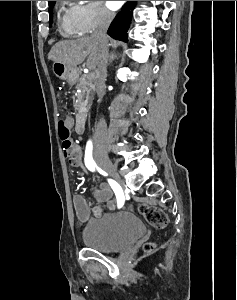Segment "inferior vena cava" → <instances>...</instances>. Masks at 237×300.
Returning <instances> with one entry per match:
<instances>
[{
  "instance_id": "inferior-vena-cava-1",
  "label": "inferior vena cava",
  "mask_w": 237,
  "mask_h": 300,
  "mask_svg": "<svg viewBox=\"0 0 237 300\" xmlns=\"http://www.w3.org/2000/svg\"><path fill=\"white\" fill-rule=\"evenodd\" d=\"M114 19V13H111V11H108V9H105V7H102L101 13H100V21L96 27V31H94L92 37L94 39H97L99 41L100 45V61L97 69V81H96V93L99 97V101L103 99L105 95V81L107 77V63H108V39H107V31L109 29V25L111 21ZM95 135L97 137V143L99 145L100 139L98 137H102V139H106V129H105V123L103 119H100Z\"/></svg>"
}]
</instances>
